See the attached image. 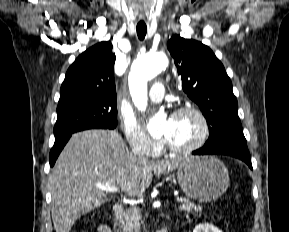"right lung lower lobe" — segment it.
<instances>
[{
  "label": "right lung lower lobe",
  "instance_id": "obj_1",
  "mask_svg": "<svg viewBox=\"0 0 289 232\" xmlns=\"http://www.w3.org/2000/svg\"><path fill=\"white\" fill-rule=\"evenodd\" d=\"M72 134L73 133H70V134L55 138L54 146L52 147L50 151V155H49V162H50L51 167L54 165L58 155L60 154L61 150L63 149V147L65 146V144L67 143V141L69 140Z\"/></svg>",
  "mask_w": 289,
  "mask_h": 232
}]
</instances>
